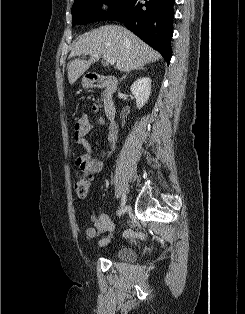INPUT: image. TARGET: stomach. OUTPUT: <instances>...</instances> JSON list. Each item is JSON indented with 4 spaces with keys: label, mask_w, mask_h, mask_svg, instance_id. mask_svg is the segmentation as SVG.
Masks as SVG:
<instances>
[{
    "label": "stomach",
    "mask_w": 245,
    "mask_h": 314,
    "mask_svg": "<svg viewBox=\"0 0 245 314\" xmlns=\"http://www.w3.org/2000/svg\"><path fill=\"white\" fill-rule=\"evenodd\" d=\"M81 83L84 88H90L92 86V83L89 81L87 77H83Z\"/></svg>",
    "instance_id": "stomach-1"
}]
</instances>
